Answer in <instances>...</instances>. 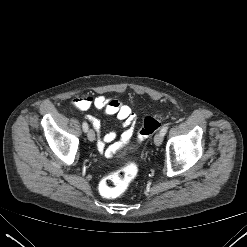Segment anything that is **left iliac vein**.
Segmentation results:
<instances>
[{
	"instance_id": "obj_1",
	"label": "left iliac vein",
	"mask_w": 247,
	"mask_h": 247,
	"mask_svg": "<svg viewBox=\"0 0 247 247\" xmlns=\"http://www.w3.org/2000/svg\"><path fill=\"white\" fill-rule=\"evenodd\" d=\"M163 142V135L161 133V131L159 133H157L154 137V143L156 146H160Z\"/></svg>"
}]
</instances>
